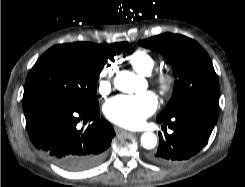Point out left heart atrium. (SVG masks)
I'll use <instances>...</instances> for the list:
<instances>
[{
	"mask_svg": "<svg viewBox=\"0 0 245 187\" xmlns=\"http://www.w3.org/2000/svg\"><path fill=\"white\" fill-rule=\"evenodd\" d=\"M157 105L156 96L152 92H145L135 96H115L104 105L103 111L113 123L135 128L153 114Z\"/></svg>",
	"mask_w": 245,
	"mask_h": 187,
	"instance_id": "1",
	"label": "left heart atrium"
}]
</instances>
